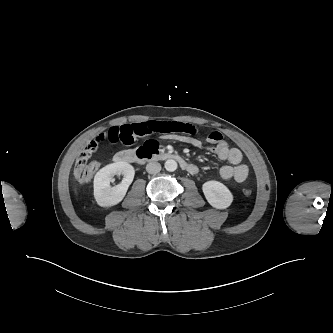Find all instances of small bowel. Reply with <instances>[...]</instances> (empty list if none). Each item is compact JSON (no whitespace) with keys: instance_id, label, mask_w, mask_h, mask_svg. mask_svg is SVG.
I'll use <instances>...</instances> for the list:
<instances>
[{"instance_id":"1","label":"small bowel","mask_w":333,"mask_h":333,"mask_svg":"<svg viewBox=\"0 0 333 333\" xmlns=\"http://www.w3.org/2000/svg\"><path fill=\"white\" fill-rule=\"evenodd\" d=\"M201 130L191 124L176 121H148L133 124H126L111 128L107 133L100 136V140H108L111 143H122L124 145H133L139 138L148 135H159L164 139H175L191 144L196 148L202 147L200 140ZM207 141L214 144L209 151L215 154L219 159L227 161L228 164L220 168V177L224 180L234 179L237 182H243L248 177V166L242 163V153L237 148H231L223 140L221 133L217 131L209 132L206 135ZM189 171L191 174H197L199 168L191 164Z\"/></svg>"}]
</instances>
